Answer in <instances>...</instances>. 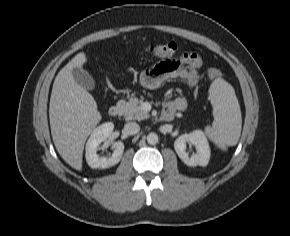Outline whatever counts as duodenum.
Listing matches in <instances>:
<instances>
[{
	"mask_svg": "<svg viewBox=\"0 0 290 236\" xmlns=\"http://www.w3.org/2000/svg\"><path fill=\"white\" fill-rule=\"evenodd\" d=\"M175 110L168 109L162 111V118L164 120H171L175 115ZM108 113L111 117H119L122 114V107L120 105L110 106Z\"/></svg>",
	"mask_w": 290,
	"mask_h": 236,
	"instance_id": "duodenum-1",
	"label": "duodenum"
}]
</instances>
